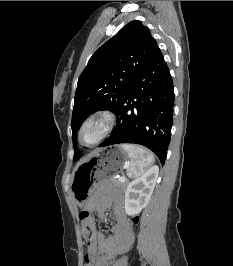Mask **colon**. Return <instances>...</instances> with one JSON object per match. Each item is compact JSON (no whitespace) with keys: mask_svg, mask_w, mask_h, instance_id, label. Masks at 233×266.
I'll use <instances>...</instances> for the list:
<instances>
[{"mask_svg":"<svg viewBox=\"0 0 233 266\" xmlns=\"http://www.w3.org/2000/svg\"><path fill=\"white\" fill-rule=\"evenodd\" d=\"M79 216L82 224H87L91 218V215L86 210L81 211Z\"/></svg>","mask_w":233,"mask_h":266,"instance_id":"1","label":"colon"}]
</instances>
